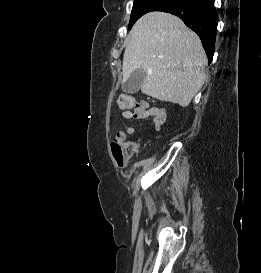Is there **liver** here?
I'll return each instance as SVG.
<instances>
[{
  "instance_id": "1",
  "label": "liver",
  "mask_w": 261,
  "mask_h": 273,
  "mask_svg": "<svg viewBox=\"0 0 261 273\" xmlns=\"http://www.w3.org/2000/svg\"><path fill=\"white\" fill-rule=\"evenodd\" d=\"M200 38L178 17L149 12L133 26L123 56V83L136 69L147 76L142 93L186 107L206 79Z\"/></svg>"
}]
</instances>
